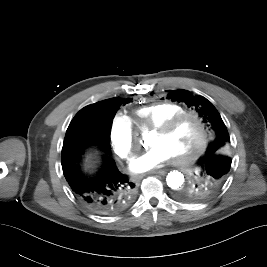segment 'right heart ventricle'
I'll use <instances>...</instances> for the list:
<instances>
[{"instance_id": "right-heart-ventricle-1", "label": "right heart ventricle", "mask_w": 267, "mask_h": 267, "mask_svg": "<svg viewBox=\"0 0 267 267\" xmlns=\"http://www.w3.org/2000/svg\"><path fill=\"white\" fill-rule=\"evenodd\" d=\"M184 112L186 109L179 104L159 102L136 109L132 120L140 128H156L167 119Z\"/></svg>"}]
</instances>
